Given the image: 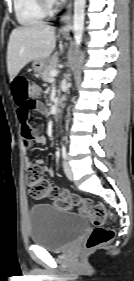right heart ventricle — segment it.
<instances>
[{
	"instance_id": "obj_1",
	"label": "right heart ventricle",
	"mask_w": 134,
	"mask_h": 281,
	"mask_svg": "<svg viewBox=\"0 0 134 281\" xmlns=\"http://www.w3.org/2000/svg\"><path fill=\"white\" fill-rule=\"evenodd\" d=\"M17 21L24 26H31L44 20L46 14L38 0H13Z\"/></svg>"
}]
</instances>
